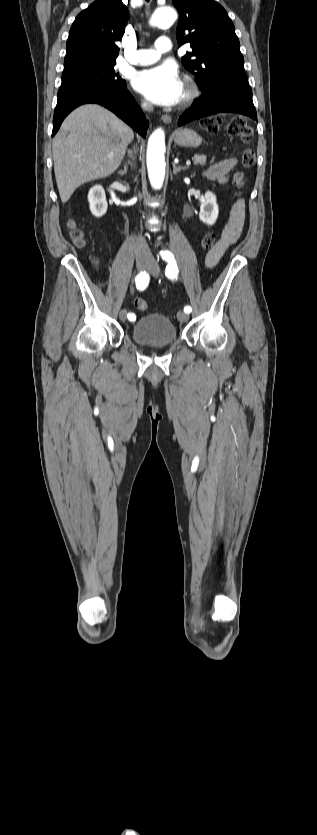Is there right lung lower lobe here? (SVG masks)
I'll return each mask as SVG.
<instances>
[{"mask_svg":"<svg viewBox=\"0 0 317 835\" xmlns=\"http://www.w3.org/2000/svg\"><path fill=\"white\" fill-rule=\"evenodd\" d=\"M86 103L100 104L120 117L136 132L145 137L148 121L125 87L99 85L59 96L53 116V132L56 134L64 118L76 107Z\"/></svg>","mask_w":317,"mask_h":835,"instance_id":"right-lung-lower-lobe-1","label":"right lung lower lobe"}]
</instances>
